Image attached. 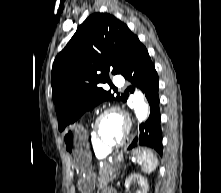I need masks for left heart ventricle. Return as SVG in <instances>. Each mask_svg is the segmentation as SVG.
<instances>
[{
    "mask_svg": "<svg viewBox=\"0 0 221 193\" xmlns=\"http://www.w3.org/2000/svg\"><path fill=\"white\" fill-rule=\"evenodd\" d=\"M98 130L105 142L114 144L122 138L126 130V122L120 114L111 112L100 120Z\"/></svg>",
    "mask_w": 221,
    "mask_h": 193,
    "instance_id": "1",
    "label": "left heart ventricle"
}]
</instances>
